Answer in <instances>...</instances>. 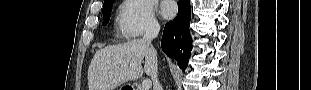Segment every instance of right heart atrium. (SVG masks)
Listing matches in <instances>:
<instances>
[{"label":"right heart atrium","instance_id":"obj_1","mask_svg":"<svg viewBox=\"0 0 311 90\" xmlns=\"http://www.w3.org/2000/svg\"><path fill=\"white\" fill-rule=\"evenodd\" d=\"M116 27L122 38L132 40L156 32L160 25L150 1L125 0L118 10Z\"/></svg>","mask_w":311,"mask_h":90}]
</instances>
